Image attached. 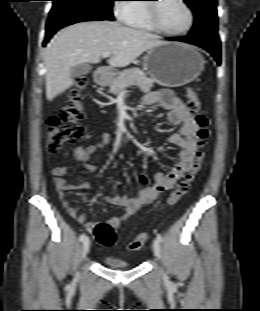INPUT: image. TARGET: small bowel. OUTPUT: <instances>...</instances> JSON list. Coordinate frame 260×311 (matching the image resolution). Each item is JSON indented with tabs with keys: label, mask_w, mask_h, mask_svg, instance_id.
<instances>
[{
	"label": "small bowel",
	"mask_w": 260,
	"mask_h": 311,
	"mask_svg": "<svg viewBox=\"0 0 260 311\" xmlns=\"http://www.w3.org/2000/svg\"><path fill=\"white\" fill-rule=\"evenodd\" d=\"M144 103L146 105H159L168 112V123L180 127L179 131L169 138V142L179 147L181 151L174 167L168 173H156L153 184L148 185L146 175L142 174L139 176V181L143 187L139 190L136 197L130 198L122 195L106 198L108 203L121 206L124 209L121 216L113 217L109 220V223L115 228L119 227L123 221L131 217L142 206L156 201L164 191L171 189L189 171L196 150L198 126L194 115L187 109L179 97L174 95L171 90L163 89L149 92L144 98ZM110 141L111 134L103 132L95 143L75 149L76 160L81 162L90 174H93L96 171V166L91 161L92 155L109 144ZM69 168L68 165L54 167L51 171L53 184L67 213L73 219L83 224L86 230L91 233L96 223L87 222L85 213L72 206L67 200L66 192L77 190V187L69 184L64 178Z\"/></svg>",
	"instance_id": "small-bowel-1"
}]
</instances>
